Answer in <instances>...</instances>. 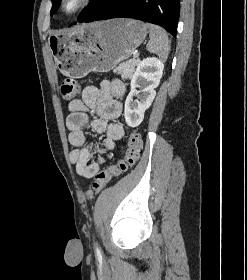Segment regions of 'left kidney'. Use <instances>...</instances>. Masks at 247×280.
Wrapping results in <instances>:
<instances>
[{
    "instance_id": "left-kidney-1",
    "label": "left kidney",
    "mask_w": 247,
    "mask_h": 280,
    "mask_svg": "<svg viewBox=\"0 0 247 280\" xmlns=\"http://www.w3.org/2000/svg\"><path fill=\"white\" fill-rule=\"evenodd\" d=\"M163 69V61L156 57H148L138 64L125 101L124 116L128 126L137 127L143 121L146 110L156 96L155 88L160 83Z\"/></svg>"
}]
</instances>
